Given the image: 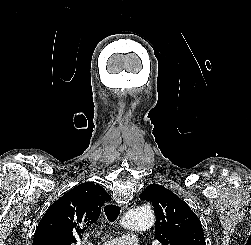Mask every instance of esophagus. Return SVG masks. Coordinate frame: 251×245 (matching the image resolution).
<instances>
[{"instance_id":"obj_1","label":"esophagus","mask_w":251,"mask_h":245,"mask_svg":"<svg viewBox=\"0 0 251 245\" xmlns=\"http://www.w3.org/2000/svg\"><path fill=\"white\" fill-rule=\"evenodd\" d=\"M135 206V201H130L129 203H127V205L124 207V210H129L132 207Z\"/></svg>"}]
</instances>
